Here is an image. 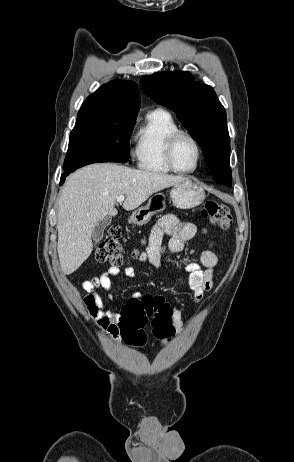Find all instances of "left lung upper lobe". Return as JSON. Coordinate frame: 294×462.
<instances>
[{"label":"left lung upper lobe","instance_id":"left-lung-upper-lobe-1","mask_svg":"<svg viewBox=\"0 0 294 462\" xmlns=\"http://www.w3.org/2000/svg\"><path fill=\"white\" fill-rule=\"evenodd\" d=\"M145 94L176 113L201 146L214 174H231L226 111L212 87L194 81L187 71L158 72L140 80Z\"/></svg>","mask_w":294,"mask_h":462}]
</instances>
